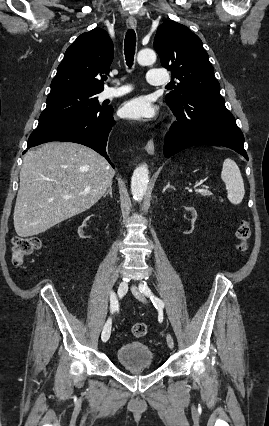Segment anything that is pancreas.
I'll return each instance as SVG.
<instances>
[{
	"mask_svg": "<svg viewBox=\"0 0 269 426\" xmlns=\"http://www.w3.org/2000/svg\"><path fill=\"white\" fill-rule=\"evenodd\" d=\"M203 190L204 191L199 192L202 196H210V195H212V193L209 192L208 190H206V189H203Z\"/></svg>",
	"mask_w": 269,
	"mask_h": 426,
	"instance_id": "cf45deb5",
	"label": "pancreas"
}]
</instances>
